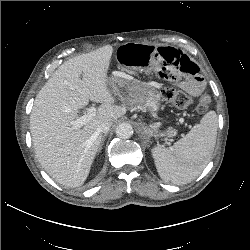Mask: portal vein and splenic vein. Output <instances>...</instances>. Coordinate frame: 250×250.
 <instances>
[{
  "instance_id": "portal-vein-and-splenic-vein-1",
  "label": "portal vein and splenic vein",
  "mask_w": 250,
  "mask_h": 250,
  "mask_svg": "<svg viewBox=\"0 0 250 250\" xmlns=\"http://www.w3.org/2000/svg\"><path fill=\"white\" fill-rule=\"evenodd\" d=\"M96 115V109L95 107L91 106L87 108V113L84 114L83 116L77 118L72 122V126L74 129H79L83 125H85L93 116Z\"/></svg>"
}]
</instances>
